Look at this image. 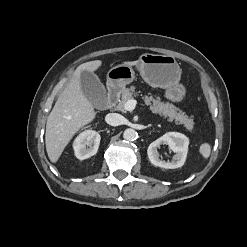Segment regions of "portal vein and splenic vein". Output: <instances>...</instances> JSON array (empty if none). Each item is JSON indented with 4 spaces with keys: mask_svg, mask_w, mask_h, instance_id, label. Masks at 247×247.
<instances>
[{
    "mask_svg": "<svg viewBox=\"0 0 247 247\" xmlns=\"http://www.w3.org/2000/svg\"><path fill=\"white\" fill-rule=\"evenodd\" d=\"M136 104H137L136 100L134 99L128 100L124 105V109L126 111H133L135 109Z\"/></svg>",
    "mask_w": 247,
    "mask_h": 247,
    "instance_id": "18ae733b",
    "label": "portal vein and splenic vein"
}]
</instances>
